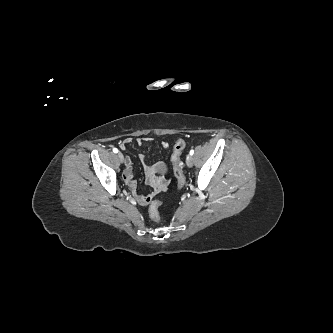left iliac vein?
Here are the masks:
<instances>
[{
	"label": "left iliac vein",
	"mask_w": 333,
	"mask_h": 333,
	"mask_svg": "<svg viewBox=\"0 0 333 333\" xmlns=\"http://www.w3.org/2000/svg\"><path fill=\"white\" fill-rule=\"evenodd\" d=\"M186 164L188 167H192L193 166V157L192 155H188L186 158Z\"/></svg>",
	"instance_id": "obj_1"
}]
</instances>
